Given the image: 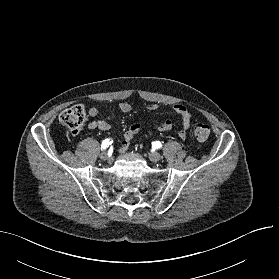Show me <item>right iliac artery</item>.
<instances>
[{
    "instance_id": "1",
    "label": "right iliac artery",
    "mask_w": 279,
    "mask_h": 279,
    "mask_svg": "<svg viewBox=\"0 0 279 279\" xmlns=\"http://www.w3.org/2000/svg\"><path fill=\"white\" fill-rule=\"evenodd\" d=\"M111 143L110 139H105L101 144V149H106Z\"/></svg>"
}]
</instances>
